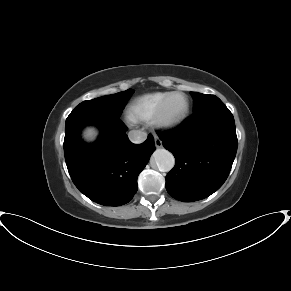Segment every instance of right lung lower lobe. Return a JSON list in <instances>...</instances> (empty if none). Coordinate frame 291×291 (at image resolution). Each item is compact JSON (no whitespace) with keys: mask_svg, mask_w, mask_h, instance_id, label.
<instances>
[{"mask_svg":"<svg viewBox=\"0 0 291 291\" xmlns=\"http://www.w3.org/2000/svg\"><path fill=\"white\" fill-rule=\"evenodd\" d=\"M89 124L101 134L92 144L80 138ZM119 117L91 111H73L65 123L64 154L73 183L90 200L105 206L128 203L138 189L137 178L153 151L151 135L142 144H133Z\"/></svg>","mask_w":291,"mask_h":291,"instance_id":"obj_1","label":"right lung lower lobe"}]
</instances>
